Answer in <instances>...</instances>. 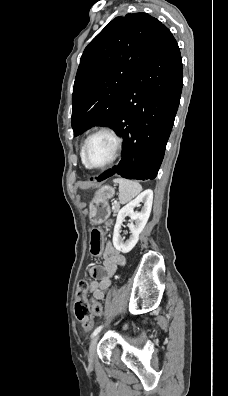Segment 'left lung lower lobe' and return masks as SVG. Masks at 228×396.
Returning a JSON list of instances; mask_svg holds the SVG:
<instances>
[{"mask_svg":"<svg viewBox=\"0 0 228 396\" xmlns=\"http://www.w3.org/2000/svg\"><path fill=\"white\" fill-rule=\"evenodd\" d=\"M183 85L178 44L164 26L133 79L111 127L124 139L118 165L97 178L113 175L153 180L164 157Z\"/></svg>","mask_w":228,"mask_h":396,"instance_id":"left-lung-lower-lobe-1","label":"left lung lower lobe"}]
</instances>
